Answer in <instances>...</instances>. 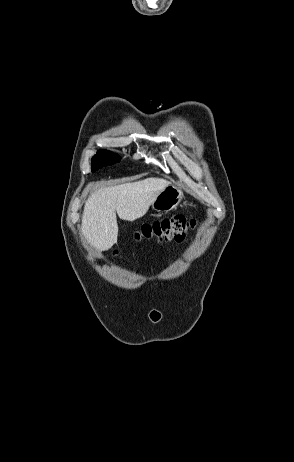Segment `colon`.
Returning a JSON list of instances; mask_svg holds the SVG:
<instances>
[{"label": "colon", "instance_id": "obj_1", "mask_svg": "<svg viewBox=\"0 0 294 462\" xmlns=\"http://www.w3.org/2000/svg\"><path fill=\"white\" fill-rule=\"evenodd\" d=\"M195 221L183 215L146 223L136 232V239L155 238L159 242H183L194 229Z\"/></svg>", "mask_w": 294, "mask_h": 462}]
</instances>
